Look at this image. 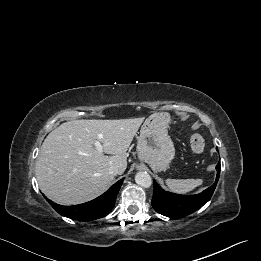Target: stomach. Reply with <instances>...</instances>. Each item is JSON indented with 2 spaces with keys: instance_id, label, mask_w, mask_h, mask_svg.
<instances>
[{
  "instance_id": "0dacf381",
  "label": "stomach",
  "mask_w": 261,
  "mask_h": 261,
  "mask_svg": "<svg viewBox=\"0 0 261 261\" xmlns=\"http://www.w3.org/2000/svg\"><path fill=\"white\" fill-rule=\"evenodd\" d=\"M170 115L159 112L143 123L137 143L138 156L154 171H164L175 156L174 144L168 135Z\"/></svg>"
}]
</instances>
